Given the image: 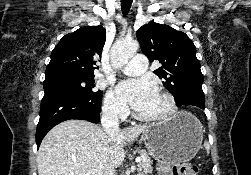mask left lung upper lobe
<instances>
[{
    "instance_id": "1",
    "label": "left lung upper lobe",
    "mask_w": 251,
    "mask_h": 175,
    "mask_svg": "<svg viewBox=\"0 0 251 175\" xmlns=\"http://www.w3.org/2000/svg\"><path fill=\"white\" fill-rule=\"evenodd\" d=\"M141 50L151 62L158 60L162 66L154 73L163 79L164 86L175 101L205 102L204 81L196 47L189 37L168 25L150 22L136 33Z\"/></svg>"
}]
</instances>
